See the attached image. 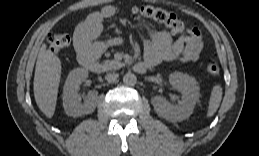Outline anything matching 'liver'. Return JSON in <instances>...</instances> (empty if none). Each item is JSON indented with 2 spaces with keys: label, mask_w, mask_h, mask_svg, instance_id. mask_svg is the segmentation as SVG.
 <instances>
[{
  "label": "liver",
  "mask_w": 259,
  "mask_h": 156,
  "mask_svg": "<svg viewBox=\"0 0 259 156\" xmlns=\"http://www.w3.org/2000/svg\"><path fill=\"white\" fill-rule=\"evenodd\" d=\"M61 78V61L46 44H42L35 67L34 97L43 114L52 118L56 108Z\"/></svg>",
  "instance_id": "6515ba94"
}]
</instances>
